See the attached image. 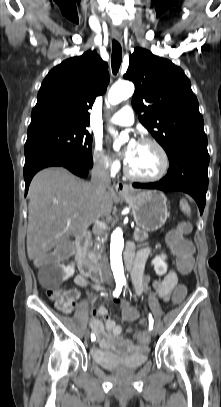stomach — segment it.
<instances>
[{
  "instance_id": "obj_1",
  "label": "stomach",
  "mask_w": 221,
  "mask_h": 407,
  "mask_svg": "<svg viewBox=\"0 0 221 407\" xmlns=\"http://www.w3.org/2000/svg\"><path fill=\"white\" fill-rule=\"evenodd\" d=\"M132 208L137 226L144 231L153 232L160 229L169 214L165 195L157 190L130 191L122 195Z\"/></svg>"
}]
</instances>
